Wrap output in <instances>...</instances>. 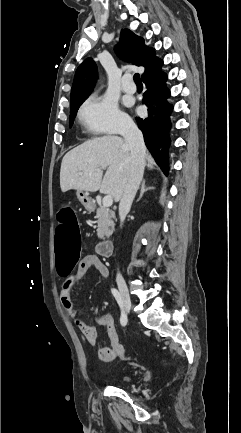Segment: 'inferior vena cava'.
I'll use <instances>...</instances> for the list:
<instances>
[{"label":"inferior vena cava","instance_id":"602c4592","mask_svg":"<svg viewBox=\"0 0 241 433\" xmlns=\"http://www.w3.org/2000/svg\"><path fill=\"white\" fill-rule=\"evenodd\" d=\"M121 134L131 153L130 173L119 203V217L122 225L143 178L146 147L142 132L133 121L124 124ZM117 279L122 280L120 273L117 274Z\"/></svg>","mask_w":241,"mask_h":433}]
</instances>
